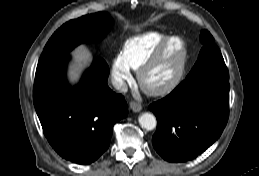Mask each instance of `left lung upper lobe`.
Here are the masks:
<instances>
[{"label":"left lung upper lobe","instance_id":"5c2ea615","mask_svg":"<svg viewBox=\"0 0 259 176\" xmlns=\"http://www.w3.org/2000/svg\"><path fill=\"white\" fill-rule=\"evenodd\" d=\"M200 41L203 44V48L199 53L197 62L186 79L204 73H216L228 76V69L219 48L215 44L213 36L207 30H203L200 34Z\"/></svg>","mask_w":259,"mask_h":176}]
</instances>
